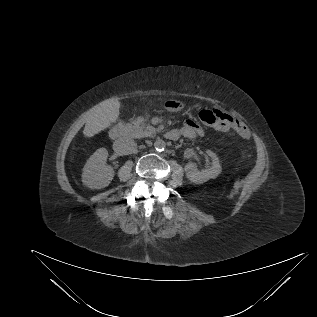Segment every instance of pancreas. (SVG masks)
Listing matches in <instances>:
<instances>
[{"label": "pancreas", "mask_w": 317, "mask_h": 317, "mask_svg": "<svg viewBox=\"0 0 317 317\" xmlns=\"http://www.w3.org/2000/svg\"><path fill=\"white\" fill-rule=\"evenodd\" d=\"M124 130L127 135L134 138L151 136L156 132V129L146 124L142 117H137L135 120L127 123Z\"/></svg>", "instance_id": "obj_1"}]
</instances>
